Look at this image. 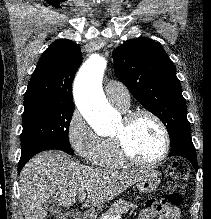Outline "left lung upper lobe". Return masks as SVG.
Segmentation results:
<instances>
[{"instance_id":"5c2ea615","label":"left lung upper lobe","mask_w":211,"mask_h":219,"mask_svg":"<svg viewBox=\"0 0 211 219\" xmlns=\"http://www.w3.org/2000/svg\"><path fill=\"white\" fill-rule=\"evenodd\" d=\"M112 57L117 78L164 123L170 145L191 133L175 66L160 44L149 38L132 39L116 48Z\"/></svg>"}]
</instances>
